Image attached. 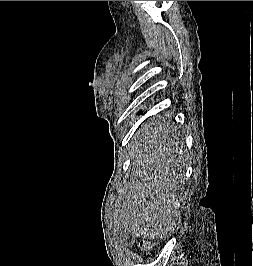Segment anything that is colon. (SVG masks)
I'll use <instances>...</instances> for the list:
<instances>
[{
  "label": "colon",
  "instance_id": "1",
  "mask_svg": "<svg viewBox=\"0 0 253 266\" xmlns=\"http://www.w3.org/2000/svg\"><path fill=\"white\" fill-rule=\"evenodd\" d=\"M138 246H139V248H140L141 250H143V251H147V250H149L150 247H151V245H150L149 242H140Z\"/></svg>",
  "mask_w": 253,
  "mask_h": 266
}]
</instances>
